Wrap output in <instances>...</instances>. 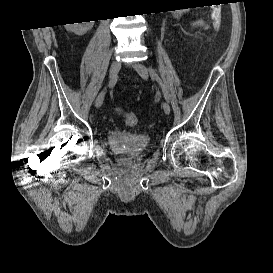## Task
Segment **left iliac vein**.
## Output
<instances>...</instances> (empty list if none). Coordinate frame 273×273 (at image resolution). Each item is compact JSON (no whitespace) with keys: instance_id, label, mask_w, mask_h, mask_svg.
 Wrapping results in <instances>:
<instances>
[{"instance_id":"1","label":"left iliac vein","mask_w":273,"mask_h":273,"mask_svg":"<svg viewBox=\"0 0 273 273\" xmlns=\"http://www.w3.org/2000/svg\"><path fill=\"white\" fill-rule=\"evenodd\" d=\"M132 66L144 80L148 79L149 73L145 65L138 62V63H133ZM163 110L166 114H170L171 109L168 103L166 102L163 103Z\"/></svg>"}]
</instances>
